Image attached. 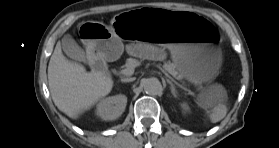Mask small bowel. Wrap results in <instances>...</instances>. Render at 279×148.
<instances>
[{
	"instance_id": "c3829d8e",
	"label": "small bowel",
	"mask_w": 279,
	"mask_h": 148,
	"mask_svg": "<svg viewBox=\"0 0 279 148\" xmlns=\"http://www.w3.org/2000/svg\"><path fill=\"white\" fill-rule=\"evenodd\" d=\"M126 51L132 56L149 59H162L164 57V53L161 50L143 42L128 43L126 45Z\"/></svg>"
}]
</instances>
